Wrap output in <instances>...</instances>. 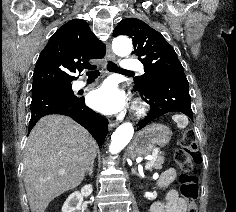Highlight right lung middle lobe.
Returning <instances> with one entry per match:
<instances>
[{"instance_id":"obj_1","label":"right lung middle lobe","mask_w":236,"mask_h":212,"mask_svg":"<svg viewBox=\"0 0 236 212\" xmlns=\"http://www.w3.org/2000/svg\"><path fill=\"white\" fill-rule=\"evenodd\" d=\"M58 91H60V93H62L63 95L71 98V99H76L77 97L74 95L71 85H64V86H55L52 87Z\"/></svg>"}]
</instances>
